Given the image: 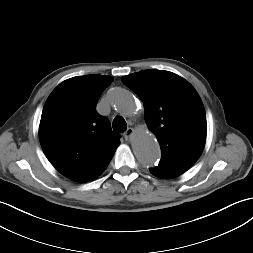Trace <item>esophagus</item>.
I'll return each mask as SVG.
<instances>
[{
  "instance_id": "34e87169",
  "label": "esophagus",
  "mask_w": 253,
  "mask_h": 253,
  "mask_svg": "<svg viewBox=\"0 0 253 253\" xmlns=\"http://www.w3.org/2000/svg\"><path fill=\"white\" fill-rule=\"evenodd\" d=\"M133 134H134V129L131 128V127H129V128L126 130V132L124 133V138H125L126 140H129V139L132 137Z\"/></svg>"
}]
</instances>
